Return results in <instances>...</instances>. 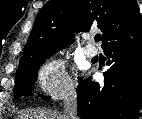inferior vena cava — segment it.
<instances>
[{
  "mask_svg": "<svg viewBox=\"0 0 142 119\" xmlns=\"http://www.w3.org/2000/svg\"><path fill=\"white\" fill-rule=\"evenodd\" d=\"M64 119H78L77 96L74 89L64 97Z\"/></svg>",
  "mask_w": 142,
  "mask_h": 119,
  "instance_id": "1",
  "label": "inferior vena cava"
}]
</instances>
